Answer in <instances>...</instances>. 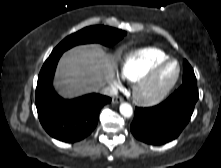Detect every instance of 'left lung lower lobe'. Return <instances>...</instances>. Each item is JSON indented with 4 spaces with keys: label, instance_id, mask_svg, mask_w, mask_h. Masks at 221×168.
Instances as JSON below:
<instances>
[{
    "label": "left lung lower lobe",
    "instance_id": "left-lung-lower-lobe-1",
    "mask_svg": "<svg viewBox=\"0 0 221 168\" xmlns=\"http://www.w3.org/2000/svg\"><path fill=\"white\" fill-rule=\"evenodd\" d=\"M199 98L197 82L185 81L163 103L136 107L131 132L138 140L162 145L176 139L190 121Z\"/></svg>",
    "mask_w": 221,
    "mask_h": 168
}]
</instances>
